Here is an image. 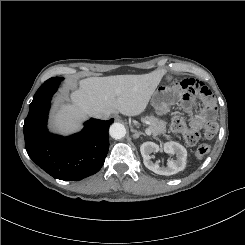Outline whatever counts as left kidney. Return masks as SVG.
<instances>
[{
	"instance_id": "obj_1",
	"label": "left kidney",
	"mask_w": 245,
	"mask_h": 245,
	"mask_svg": "<svg viewBox=\"0 0 245 245\" xmlns=\"http://www.w3.org/2000/svg\"><path fill=\"white\" fill-rule=\"evenodd\" d=\"M160 150L171 155H176V159L169 160L166 167H161L158 163H153L150 154ZM140 152L143 157L144 165L149 170L159 175H173L182 171L186 166L187 151L177 142H166L162 148L154 142H145L140 146Z\"/></svg>"
}]
</instances>
